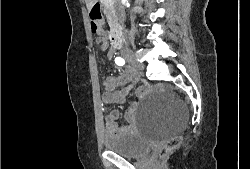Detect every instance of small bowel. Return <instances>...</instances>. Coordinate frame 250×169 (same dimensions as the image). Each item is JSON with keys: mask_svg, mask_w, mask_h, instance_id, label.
Listing matches in <instances>:
<instances>
[{"mask_svg": "<svg viewBox=\"0 0 250 169\" xmlns=\"http://www.w3.org/2000/svg\"><path fill=\"white\" fill-rule=\"evenodd\" d=\"M97 42L106 49L108 47L107 37L104 33H100L97 37ZM111 53L108 54L110 56ZM141 83V86L136 91V96L138 98L144 97L148 92L147 82L142 80L139 75L126 71L118 75L109 76L104 81L105 92L103 94V99L108 104H122L125 101V96L129 93L133 86L137 83ZM128 85L125 88L119 90L120 87ZM119 117V111L113 110L106 116V132L111 135L116 132L120 133H131L136 129V115L134 107L129 109L125 114V119L127 124L118 127L116 120Z\"/></svg>", "mask_w": 250, "mask_h": 169, "instance_id": "obj_1", "label": "small bowel"}]
</instances>
